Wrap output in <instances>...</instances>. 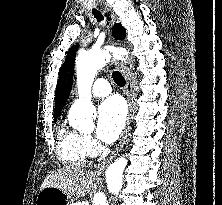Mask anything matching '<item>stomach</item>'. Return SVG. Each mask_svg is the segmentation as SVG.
Segmentation results:
<instances>
[{
  "label": "stomach",
  "instance_id": "0dacf381",
  "mask_svg": "<svg viewBox=\"0 0 222 205\" xmlns=\"http://www.w3.org/2000/svg\"><path fill=\"white\" fill-rule=\"evenodd\" d=\"M36 205H71V199L61 189L45 187L37 195Z\"/></svg>",
  "mask_w": 222,
  "mask_h": 205
}]
</instances>
